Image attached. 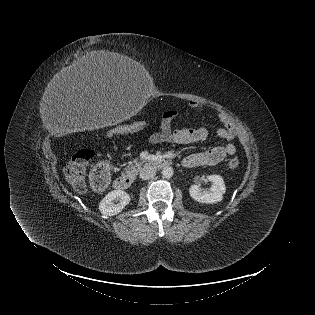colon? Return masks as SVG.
I'll use <instances>...</instances> for the list:
<instances>
[{"label":"colon","mask_w":315,"mask_h":315,"mask_svg":"<svg viewBox=\"0 0 315 315\" xmlns=\"http://www.w3.org/2000/svg\"><path fill=\"white\" fill-rule=\"evenodd\" d=\"M139 126L135 123L120 126L116 129L115 134L126 135L129 134ZM94 157V153L90 149H80L76 151L70 158L65 167V177L72 188L77 192H84L87 189V182L85 178L86 168ZM228 166L235 169L239 166V160L232 158L228 162ZM110 179V168L107 162H99L91 175V184L96 190H102L108 184Z\"/></svg>","instance_id":"colon-1"}]
</instances>
